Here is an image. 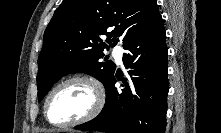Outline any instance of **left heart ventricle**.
<instances>
[{
  "label": "left heart ventricle",
  "mask_w": 221,
  "mask_h": 133,
  "mask_svg": "<svg viewBox=\"0 0 221 133\" xmlns=\"http://www.w3.org/2000/svg\"><path fill=\"white\" fill-rule=\"evenodd\" d=\"M94 100L91 88L81 82L59 88L48 103V117L55 123H66L86 114Z\"/></svg>",
  "instance_id": "obj_1"
}]
</instances>
